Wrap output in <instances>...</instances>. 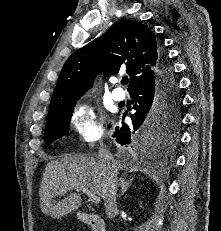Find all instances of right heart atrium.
Wrapping results in <instances>:
<instances>
[{
	"instance_id": "obj_1",
	"label": "right heart atrium",
	"mask_w": 221,
	"mask_h": 231,
	"mask_svg": "<svg viewBox=\"0 0 221 231\" xmlns=\"http://www.w3.org/2000/svg\"><path fill=\"white\" fill-rule=\"evenodd\" d=\"M72 120L77 133L85 141H97L104 136L103 126L91 107L87 105L77 107Z\"/></svg>"
}]
</instances>
